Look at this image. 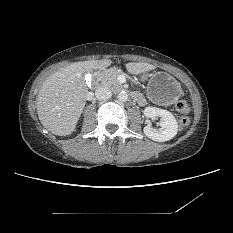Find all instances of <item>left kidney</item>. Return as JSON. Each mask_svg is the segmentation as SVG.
Returning <instances> with one entry per match:
<instances>
[{"label":"left kidney","instance_id":"5707ae66","mask_svg":"<svg viewBox=\"0 0 233 233\" xmlns=\"http://www.w3.org/2000/svg\"><path fill=\"white\" fill-rule=\"evenodd\" d=\"M143 113L146 118H161L160 129H154L150 125L144 127L143 131L150 139L157 142H165L172 139L177 134V121L171 112L156 107H146Z\"/></svg>","mask_w":233,"mask_h":233}]
</instances>
